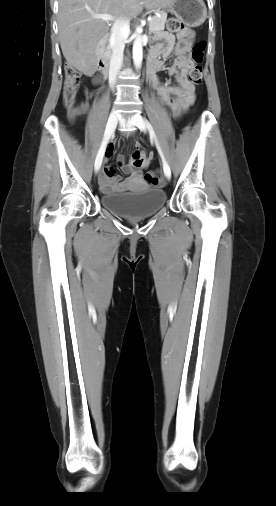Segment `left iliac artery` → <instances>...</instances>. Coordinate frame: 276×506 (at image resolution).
<instances>
[{"label": "left iliac artery", "mask_w": 276, "mask_h": 506, "mask_svg": "<svg viewBox=\"0 0 276 506\" xmlns=\"http://www.w3.org/2000/svg\"><path fill=\"white\" fill-rule=\"evenodd\" d=\"M145 123H146V125H147V127H148V129H149L150 136L154 139V141H155V143H156V147H157V149H158V152H159V154H160V156H161V158H162L163 162H165V158H164L163 152H162V150H161V148H160V146H159V143H158V140H157V138H156V135H155V132H154V130H153L152 125L149 123V121H148L147 119H145ZM164 173L167 175V172H166V171H164Z\"/></svg>", "instance_id": "left-iliac-artery-1"}]
</instances>
